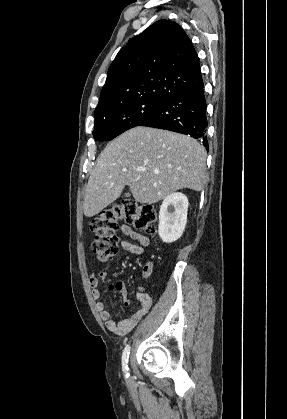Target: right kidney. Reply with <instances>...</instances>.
I'll return each instance as SVG.
<instances>
[{
	"mask_svg": "<svg viewBox=\"0 0 287 419\" xmlns=\"http://www.w3.org/2000/svg\"><path fill=\"white\" fill-rule=\"evenodd\" d=\"M188 199L182 193L165 197L160 206L158 233L165 243H172L183 234L187 223Z\"/></svg>",
	"mask_w": 287,
	"mask_h": 419,
	"instance_id": "obj_1",
	"label": "right kidney"
}]
</instances>
